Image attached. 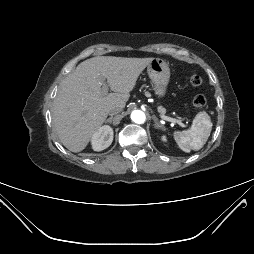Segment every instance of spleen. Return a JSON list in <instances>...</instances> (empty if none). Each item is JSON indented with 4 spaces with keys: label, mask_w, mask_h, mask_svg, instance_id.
I'll use <instances>...</instances> for the list:
<instances>
[{
    "label": "spleen",
    "mask_w": 254,
    "mask_h": 254,
    "mask_svg": "<svg viewBox=\"0 0 254 254\" xmlns=\"http://www.w3.org/2000/svg\"><path fill=\"white\" fill-rule=\"evenodd\" d=\"M212 126L210 116L202 111L194 117L190 130L175 131L173 136L179 148L189 153L191 150H200L205 145Z\"/></svg>",
    "instance_id": "1"
}]
</instances>
